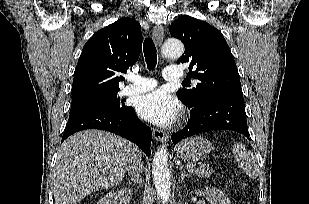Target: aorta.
Listing matches in <instances>:
<instances>
[{"instance_id":"762f6f07","label":"aorta","mask_w":309,"mask_h":204,"mask_svg":"<svg viewBox=\"0 0 309 204\" xmlns=\"http://www.w3.org/2000/svg\"><path fill=\"white\" fill-rule=\"evenodd\" d=\"M163 55L167 58H178L184 53V45L181 41L169 39L162 47ZM152 174L156 191L163 201H169L171 182L168 166V150L165 145L158 147L153 158Z\"/></svg>"}]
</instances>
